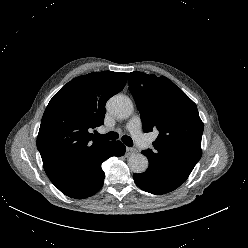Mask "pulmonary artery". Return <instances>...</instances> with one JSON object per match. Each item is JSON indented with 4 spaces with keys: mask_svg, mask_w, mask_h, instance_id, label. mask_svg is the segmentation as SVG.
<instances>
[{
    "mask_svg": "<svg viewBox=\"0 0 248 248\" xmlns=\"http://www.w3.org/2000/svg\"><path fill=\"white\" fill-rule=\"evenodd\" d=\"M142 123L139 116L132 117L126 125V129L131 133L135 142L142 147L148 145V140L141 131Z\"/></svg>",
    "mask_w": 248,
    "mask_h": 248,
    "instance_id": "1",
    "label": "pulmonary artery"
}]
</instances>
